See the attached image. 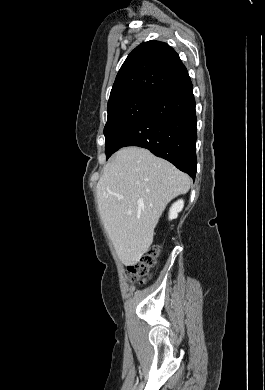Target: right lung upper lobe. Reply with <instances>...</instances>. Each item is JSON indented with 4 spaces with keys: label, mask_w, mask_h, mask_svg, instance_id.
Listing matches in <instances>:
<instances>
[{
    "label": "right lung upper lobe",
    "mask_w": 265,
    "mask_h": 390,
    "mask_svg": "<svg viewBox=\"0 0 265 390\" xmlns=\"http://www.w3.org/2000/svg\"><path fill=\"white\" fill-rule=\"evenodd\" d=\"M187 75L186 67L172 47L154 40L143 42L121 66L108 105L135 95L156 98Z\"/></svg>",
    "instance_id": "right-lung-upper-lobe-1"
}]
</instances>
